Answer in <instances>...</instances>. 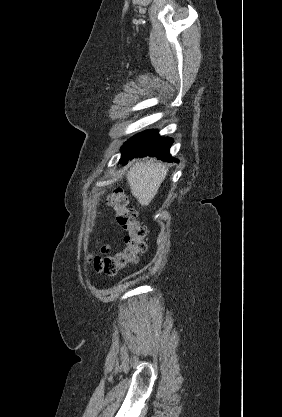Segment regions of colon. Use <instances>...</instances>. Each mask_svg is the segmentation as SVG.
Segmentation results:
<instances>
[{
  "label": "colon",
  "instance_id": "1",
  "mask_svg": "<svg viewBox=\"0 0 282 417\" xmlns=\"http://www.w3.org/2000/svg\"><path fill=\"white\" fill-rule=\"evenodd\" d=\"M106 199L116 215L117 224L124 232V246L114 255L95 256L89 262L97 272L116 274L130 265L138 263L144 253V228L137 219V213L128 206L127 196L123 190L115 187L106 195ZM107 249V246H104Z\"/></svg>",
  "mask_w": 282,
  "mask_h": 417
}]
</instances>
